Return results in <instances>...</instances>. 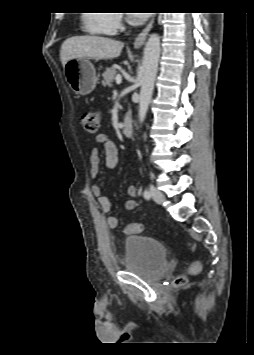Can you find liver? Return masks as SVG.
Wrapping results in <instances>:
<instances>
[{"label": "liver", "instance_id": "1", "mask_svg": "<svg viewBox=\"0 0 254 355\" xmlns=\"http://www.w3.org/2000/svg\"><path fill=\"white\" fill-rule=\"evenodd\" d=\"M124 44L107 37L74 36L66 39L60 50L63 67L74 58L112 59L120 55Z\"/></svg>", "mask_w": 254, "mask_h": 355}]
</instances>
